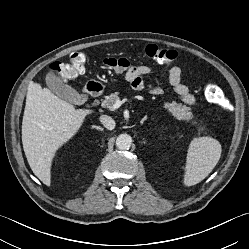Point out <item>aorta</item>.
<instances>
[{
    "label": "aorta",
    "instance_id": "obj_1",
    "mask_svg": "<svg viewBox=\"0 0 249 249\" xmlns=\"http://www.w3.org/2000/svg\"><path fill=\"white\" fill-rule=\"evenodd\" d=\"M132 145V137L129 134H120L116 138V147L119 150H127Z\"/></svg>",
    "mask_w": 249,
    "mask_h": 249
}]
</instances>
